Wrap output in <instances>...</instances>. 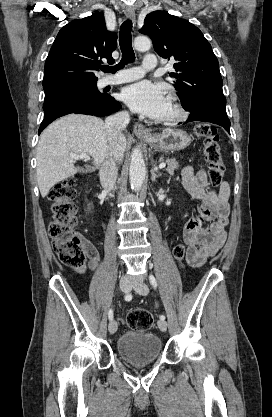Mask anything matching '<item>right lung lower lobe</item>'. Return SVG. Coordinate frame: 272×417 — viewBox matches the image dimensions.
I'll list each match as a JSON object with an SVG mask.
<instances>
[{
    "label": "right lung lower lobe",
    "instance_id": "obj_1",
    "mask_svg": "<svg viewBox=\"0 0 272 417\" xmlns=\"http://www.w3.org/2000/svg\"><path fill=\"white\" fill-rule=\"evenodd\" d=\"M105 95V98L99 100L72 97L54 102L44 109L45 116L38 130L39 134L52 121L67 114L78 113L103 117L118 111L121 108L119 102L109 94Z\"/></svg>",
    "mask_w": 272,
    "mask_h": 417
}]
</instances>
